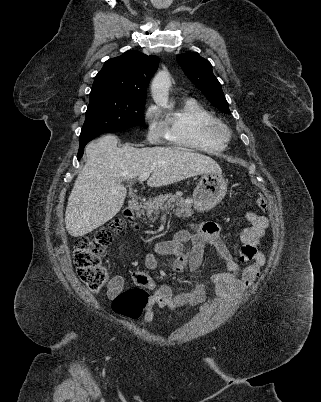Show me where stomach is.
Instances as JSON below:
<instances>
[{
    "label": "stomach",
    "instance_id": "stomach-1",
    "mask_svg": "<svg viewBox=\"0 0 321 402\" xmlns=\"http://www.w3.org/2000/svg\"><path fill=\"white\" fill-rule=\"evenodd\" d=\"M226 192L227 180L221 173H204L193 192L194 208L200 212L209 211L224 198Z\"/></svg>",
    "mask_w": 321,
    "mask_h": 402
}]
</instances>
